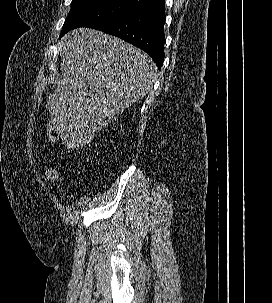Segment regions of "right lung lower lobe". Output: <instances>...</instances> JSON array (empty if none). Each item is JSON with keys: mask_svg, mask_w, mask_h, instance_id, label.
Returning <instances> with one entry per match:
<instances>
[{"mask_svg": "<svg viewBox=\"0 0 272 303\" xmlns=\"http://www.w3.org/2000/svg\"><path fill=\"white\" fill-rule=\"evenodd\" d=\"M165 1L99 22L90 28L117 36L149 54L160 69L164 61Z\"/></svg>", "mask_w": 272, "mask_h": 303, "instance_id": "right-lung-lower-lobe-1", "label": "right lung lower lobe"}]
</instances>
